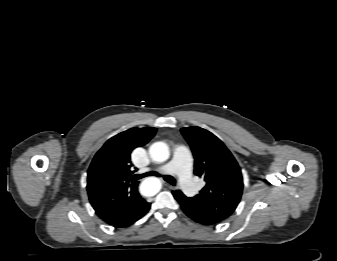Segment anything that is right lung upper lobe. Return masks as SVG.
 Segmentation results:
<instances>
[{
	"mask_svg": "<svg viewBox=\"0 0 337 261\" xmlns=\"http://www.w3.org/2000/svg\"><path fill=\"white\" fill-rule=\"evenodd\" d=\"M156 128H131L110 138L96 153L88 170L87 191L96 214L111 224L140 210L144 204L132 180L130 154L145 145Z\"/></svg>",
	"mask_w": 337,
	"mask_h": 261,
	"instance_id": "obj_1",
	"label": "right lung upper lobe"
}]
</instances>
